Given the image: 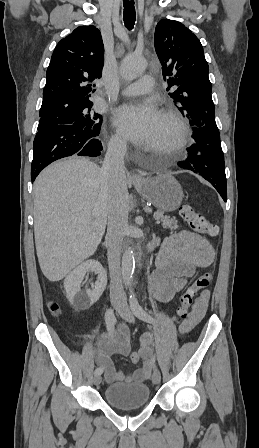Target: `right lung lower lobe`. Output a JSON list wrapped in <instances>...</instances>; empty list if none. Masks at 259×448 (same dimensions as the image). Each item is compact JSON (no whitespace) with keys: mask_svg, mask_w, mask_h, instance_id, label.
<instances>
[{"mask_svg":"<svg viewBox=\"0 0 259 448\" xmlns=\"http://www.w3.org/2000/svg\"><path fill=\"white\" fill-rule=\"evenodd\" d=\"M99 131L78 129L73 125H56L38 131L33 143L31 180L51 162L77 154L96 157L103 149Z\"/></svg>","mask_w":259,"mask_h":448,"instance_id":"1","label":"right lung lower lobe"}]
</instances>
